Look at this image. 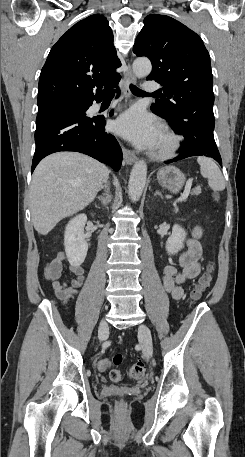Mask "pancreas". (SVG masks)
I'll return each mask as SVG.
<instances>
[{"instance_id": "pancreas-1", "label": "pancreas", "mask_w": 245, "mask_h": 457, "mask_svg": "<svg viewBox=\"0 0 245 457\" xmlns=\"http://www.w3.org/2000/svg\"><path fill=\"white\" fill-rule=\"evenodd\" d=\"M201 192V186H195V188H193V194H200Z\"/></svg>"}]
</instances>
